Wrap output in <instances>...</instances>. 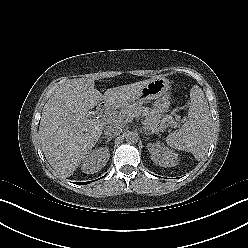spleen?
I'll use <instances>...</instances> for the list:
<instances>
[{"label":"spleen","instance_id":"3e777b00","mask_svg":"<svg viewBox=\"0 0 248 248\" xmlns=\"http://www.w3.org/2000/svg\"><path fill=\"white\" fill-rule=\"evenodd\" d=\"M190 98L187 120L180 129L167 136L166 142L172 148L191 152L200 160L209 147L212 121L204 92L199 86L192 87Z\"/></svg>","mask_w":248,"mask_h":248}]
</instances>
